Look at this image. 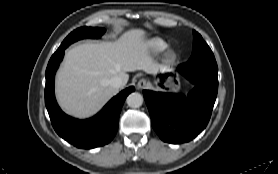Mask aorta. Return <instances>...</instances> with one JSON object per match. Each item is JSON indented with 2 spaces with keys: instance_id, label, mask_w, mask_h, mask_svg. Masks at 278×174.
Segmentation results:
<instances>
[{
  "instance_id": "1",
  "label": "aorta",
  "mask_w": 278,
  "mask_h": 174,
  "mask_svg": "<svg viewBox=\"0 0 278 174\" xmlns=\"http://www.w3.org/2000/svg\"><path fill=\"white\" fill-rule=\"evenodd\" d=\"M126 102L131 108H139L143 104V96L138 92H133L128 95Z\"/></svg>"
}]
</instances>
